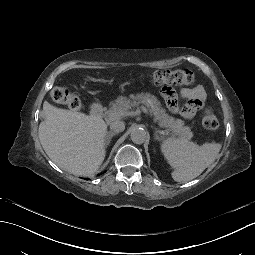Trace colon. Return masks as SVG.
<instances>
[{"label":"colon","instance_id":"5ec220e1","mask_svg":"<svg viewBox=\"0 0 255 255\" xmlns=\"http://www.w3.org/2000/svg\"><path fill=\"white\" fill-rule=\"evenodd\" d=\"M152 80L157 85H191L196 81L195 75L189 69H174L156 71ZM52 99L62 105H66L72 110H78L81 107V101L77 95L72 93L65 86H56L51 91ZM202 124L204 128L210 131L219 128V120L211 109H206L203 113Z\"/></svg>","mask_w":255,"mask_h":255}]
</instances>
